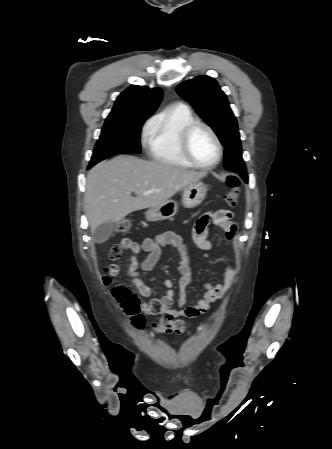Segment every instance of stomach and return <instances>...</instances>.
<instances>
[{
    "label": "stomach",
    "instance_id": "stomach-1",
    "mask_svg": "<svg viewBox=\"0 0 332 449\" xmlns=\"http://www.w3.org/2000/svg\"><path fill=\"white\" fill-rule=\"evenodd\" d=\"M207 186L201 182H194L184 188L182 204L185 208H195L200 205L206 197ZM178 210L177 202L167 200L166 202L153 206L145 212L148 221H161L172 218Z\"/></svg>",
    "mask_w": 332,
    "mask_h": 449
}]
</instances>
